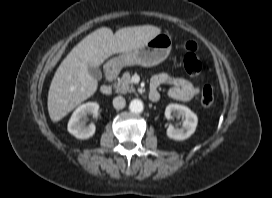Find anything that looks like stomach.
<instances>
[{"mask_svg": "<svg viewBox=\"0 0 272 198\" xmlns=\"http://www.w3.org/2000/svg\"><path fill=\"white\" fill-rule=\"evenodd\" d=\"M171 48L170 35L159 34L145 45L110 59L105 66L109 70H120L134 65L152 67L163 62L169 56Z\"/></svg>", "mask_w": 272, "mask_h": 198, "instance_id": "stomach-1", "label": "stomach"}]
</instances>
